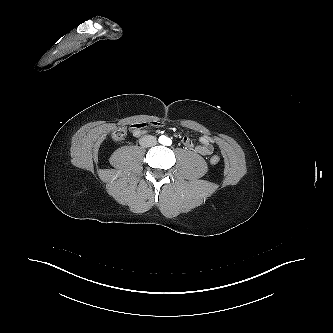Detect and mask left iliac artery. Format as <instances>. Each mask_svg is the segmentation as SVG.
Listing matches in <instances>:
<instances>
[{"label":"left iliac artery","instance_id":"1","mask_svg":"<svg viewBox=\"0 0 333 333\" xmlns=\"http://www.w3.org/2000/svg\"><path fill=\"white\" fill-rule=\"evenodd\" d=\"M172 144V141L170 139H167L166 145L170 146Z\"/></svg>","mask_w":333,"mask_h":333}]
</instances>
